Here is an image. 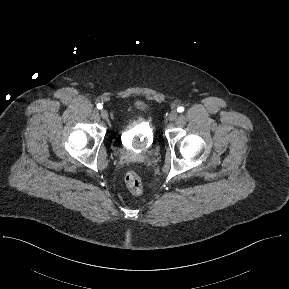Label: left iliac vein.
I'll return each mask as SVG.
<instances>
[{
  "label": "left iliac vein",
  "instance_id": "1",
  "mask_svg": "<svg viewBox=\"0 0 289 289\" xmlns=\"http://www.w3.org/2000/svg\"><path fill=\"white\" fill-rule=\"evenodd\" d=\"M177 116H178L177 112H176L175 110H173V111H171V113L169 114L168 120H169V121H173V120H175V119L177 118Z\"/></svg>",
  "mask_w": 289,
  "mask_h": 289
}]
</instances>
